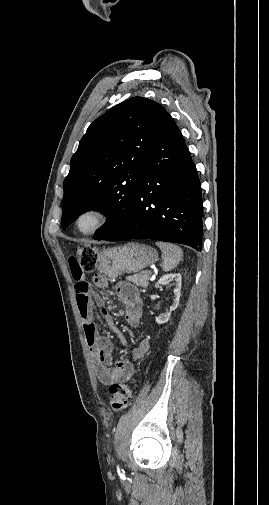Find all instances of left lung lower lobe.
<instances>
[{"instance_id":"0a47b994","label":"left lung lower lobe","mask_w":269,"mask_h":505,"mask_svg":"<svg viewBox=\"0 0 269 505\" xmlns=\"http://www.w3.org/2000/svg\"><path fill=\"white\" fill-rule=\"evenodd\" d=\"M201 184L190 152L167 113L151 141L127 221L107 241L136 238L181 243L201 251Z\"/></svg>"}]
</instances>
